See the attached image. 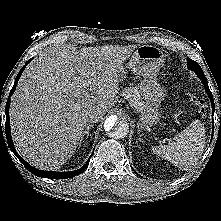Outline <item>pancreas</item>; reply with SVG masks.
<instances>
[{
    "label": "pancreas",
    "mask_w": 221,
    "mask_h": 221,
    "mask_svg": "<svg viewBox=\"0 0 221 221\" xmlns=\"http://www.w3.org/2000/svg\"><path fill=\"white\" fill-rule=\"evenodd\" d=\"M121 95L129 102L130 106L137 112L143 108V101L140 92L136 87H126Z\"/></svg>",
    "instance_id": "cf45deb5"
}]
</instances>
